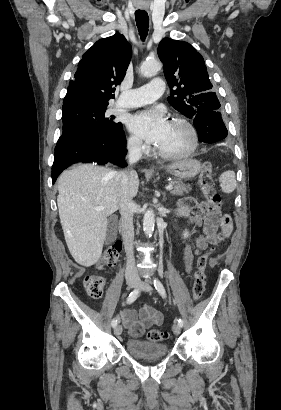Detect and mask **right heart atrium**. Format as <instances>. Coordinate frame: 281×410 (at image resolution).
<instances>
[{"label":"right heart atrium","mask_w":281,"mask_h":410,"mask_svg":"<svg viewBox=\"0 0 281 410\" xmlns=\"http://www.w3.org/2000/svg\"><path fill=\"white\" fill-rule=\"evenodd\" d=\"M128 148L137 153H146L149 147L136 135H131L127 141Z\"/></svg>","instance_id":"1"}]
</instances>
